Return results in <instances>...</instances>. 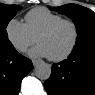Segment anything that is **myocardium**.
Returning a JSON list of instances; mask_svg holds the SVG:
<instances>
[{
	"mask_svg": "<svg viewBox=\"0 0 95 95\" xmlns=\"http://www.w3.org/2000/svg\"><path fill=\"white\" fill-rule=\"evenodd\" d=\"M64 23H68V24H71L73 26V28H74V39H73L71 46L63 54H61L59 56H48V58L52 61H62L64 59H66L67 57H69L73 53V51L75 50V48L79 42V38H80V29H79L78 24L72 19H61L59 21L52 23L51 25H49L45 29H43L36 37V42L38 43V40L40 37L47 35V34H50L58 26H60L61 24H64Z\"/></svg>",
	"mask_w": 95,
	"mask_h": 95,
	"instance_id": "obj_1",
	"label": "myocardium"
}]
</instances>
